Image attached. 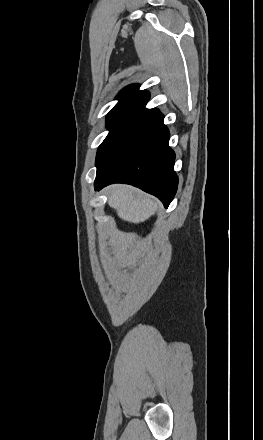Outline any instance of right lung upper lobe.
Segmentation results:
<instances>
[{
  "label": "right lung upper lobe",
  "instance_id": "cb5924a9",
  "mask_svg": "<svg viewBox=\"0 0 263 440\" xmlns=\"http://www.w3.org/2000/svg\"><path fill=\"white\" fill-rule=\"evenodd\" d=\"M117 98L119 102L112 110L121 108H144L150 95L146 90L139 91V86L133 84L121 90Z\"/></svg>",
  "mask_w": 263,
  "mask_h": 440
}]
</instances>
